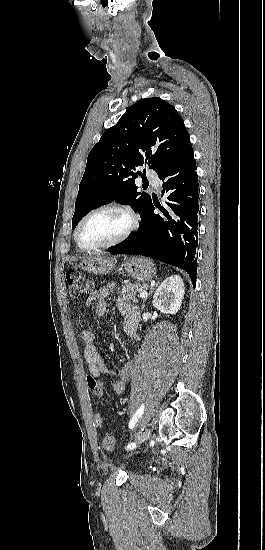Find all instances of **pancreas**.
Segmentation results:
<instances>
[{
  "instance_id": "1",
  "label": "pancreas",
  "mask_w": 265,
  "mask_h": 550,
  "mask_svg": "<svg viewBox=\"0 0 265 550\" xmlns=\"http://www.w3.org/2000/svg\"><path fill=\"white\" fill-rule=\"evenodd\" d=\"M147 289L146 284L132 283L125 281L121 287V295H124L127 300L137 302L141 292Z\"/></svg>"
}]
</instances>
